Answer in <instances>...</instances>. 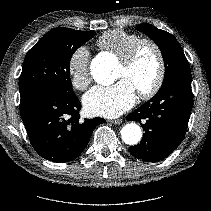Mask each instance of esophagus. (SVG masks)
I'll list each match as a JSON object with an SVG mask.
<instances>
[{
  "label": "esophagus",
  "instance_id": "34e87169",
  "mask_svg": "<svg viewBox=\"0 0 211 211\" xmlns=\"http://www.w3.org/2000/svg\"><path fill=\"white\" fill-rule=\"evenodd\" d=\"M110 123H112L114 125H119L122 123V120L121 119L110 120Z\"/></svg>",
  "mask_w": 211,
  "mask_h": 211
}]
</instances>
